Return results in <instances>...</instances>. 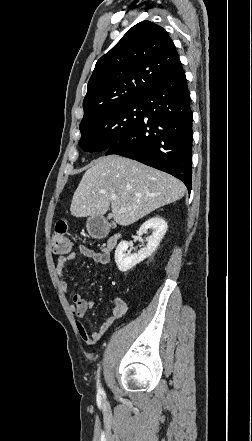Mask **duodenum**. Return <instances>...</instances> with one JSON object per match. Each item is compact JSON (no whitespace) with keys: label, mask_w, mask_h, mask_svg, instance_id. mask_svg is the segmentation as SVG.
<instances>
[{"label":"duodenum","mask_w":252,"mask_h":441,"mask_svg":"<svg viewBox=\"0 0 252 441\" xmlns=\"http://www.w3.org/2000/svg\"><path fill=\"white\" fill-rule=\"evenodd\" d=\"M108 226L98 219H93L90 222V233L95 238H104L108 234ZM119 235L111 237L107 243L108 251L114 249L118 243Z\"/></svg>","instance_id":"410a0bca"}]
</instances>
